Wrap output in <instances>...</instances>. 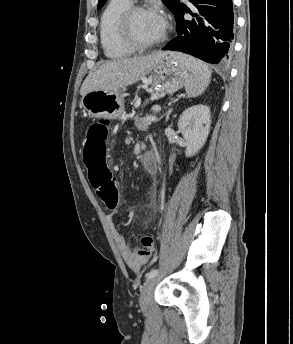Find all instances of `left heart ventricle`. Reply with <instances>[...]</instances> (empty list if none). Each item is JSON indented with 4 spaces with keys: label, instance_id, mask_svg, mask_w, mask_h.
Returning <instances> with one entry per match:
<instances>
[{
    "label": "left heart ventricle",
    "instance_id": "1",
    "mask_svg": "<svg viewBox=\"0 0 293 344\" xmlns=\"http://www.w3.org/2000/svg\"><path fill=\"white\" fill-rule=\"evenodd\" d=\"M132 32L134 36L143 42H151L159 39L164 30L157 23L154 12H140L132 21Z\"/></svg>",
    "mask_w": 293,
    "mask_h": 344
}]
</instances>
